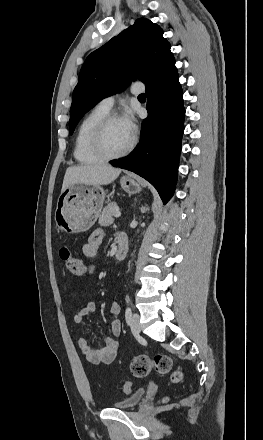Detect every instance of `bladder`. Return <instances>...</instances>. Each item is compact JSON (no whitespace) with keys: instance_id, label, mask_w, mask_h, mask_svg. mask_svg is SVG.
Listing matches in <instances>:
<instances>
[{"instance_id":"1","label":"bladder","mask_w":263,"mask_h":440,"mask_svg":"<svg viewBox=\"0 0 263 440\" xmlns=\"http://www.w3.org/2000/svg\"><path fill=\"white\" fill-rule=\"evenodd\" d=\"M145 395L144 389H138L135 392L131 393L129 396L125 397L124 399L116 402L114 404V408L120 409V410H130L135 408L140 401L143 399Z\"/></svg>"}]
</instances>
